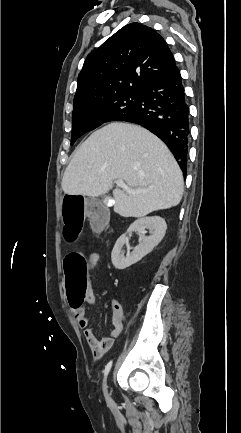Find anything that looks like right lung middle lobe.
I'll use <instances>...</instances> for the list:
<instances>
[{"label": "right lung middle lobe", "instance_id": "obj_1", "mask_svg": "<svg viewBox=\"0 0 241 433\" xmlns=\"http://www.w3.org/2000/svg\"><path fill=\"white\" fill-rule=\"evenodd\" d=\"M141 91H127L74 104L71 145L103 123L122 119L140 103Z\"/></svg>", "mask_w": 241, "mask_h": 433}]
</instances>
